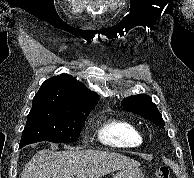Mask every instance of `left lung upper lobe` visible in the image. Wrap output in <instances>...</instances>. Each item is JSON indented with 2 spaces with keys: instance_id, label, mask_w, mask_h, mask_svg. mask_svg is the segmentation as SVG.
<instances>
[{
  "instance_id": "left-lung-upper-lobe-1",
  "label": "left lung upper lobe",
  "mask_w": 194,
  "mask_h": 178,
  "mask_svg": "<svg viewBox=\"0 0 194 178\" xmlns=\"http://www.w3.org/2000/svg\"><path fill=\"white\" fill-rule=\"evenodd\" d=\"M123 108L135 114H138L146 119H149L154 124L164 127L162 114L158 111L156 104L148 95L131 96L123 100Z\"/></svg>"
}]
</instances>
